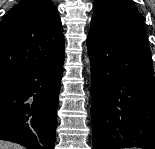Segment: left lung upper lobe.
<instances>
[{
	"instance_id": "1",
	"label": "left lung upper lobe",
	"mask_w": 155,
	"mask_h": 149,
	"mask_svg": "<svg viewBox=\"0 0 155 149\" xmlns=\"http://www.w3.org/2000/svg\"><path fill=\"white\" fill-rule=\"evenodd\" d=\"M90 30H107L131 22L144 23L131 0H96Z\"/></svg>"
}]
</instances>
